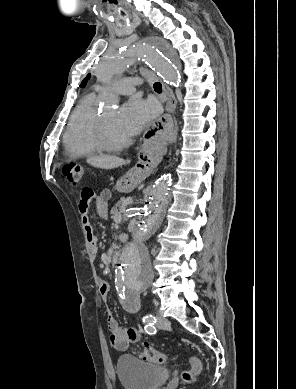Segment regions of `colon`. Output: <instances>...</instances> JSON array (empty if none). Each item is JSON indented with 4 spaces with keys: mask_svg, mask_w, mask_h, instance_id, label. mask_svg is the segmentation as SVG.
<instances>
[{
    "mask_svg": "<svg viewBox=\"0 0 296 389\" xmlns=\"http://www.w3.org/2000/svg\"><path fill=\"white\" fill-rule=\"evenodd\" d=\"M63 174L71 186L78 187L83 180L85 169L78 163H69L64 166ZM90 195L91 193L87 194V197ZM139 357L144 361L152 363L163 364L167 362V355L165 353L149 346L144 347L139 352ZM189 364L191 369L182 372V380L185 383H191L201 371V362L197 357H190Z\"/></svg>",
    "mask_w": 296,
    "mask_h": 389,
    "instance_id": "5ec220e1",
    "label": "colon"
}]
</instances>
